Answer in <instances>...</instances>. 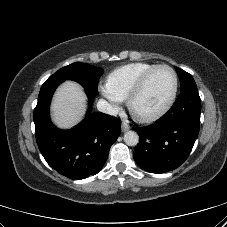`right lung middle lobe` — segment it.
<instances>
[{
	"mask_svg": "<svg viewBox=\"0 0 227 227\" xmlns=\"http://www.w3.org/2000/svg\"><path fill=\"white\" fill-rule=\"evenodd\" d=\"M103 72L101 68L76 62L59 69L45 83L73 80L81 84L88 92L96 95L98 94V81Z\"/></svg>",
	"mask_w": 227,
	"mask_h": 227,
	"instance_id": "obj_1",
	"label": "right lung middle lobe"
}]
</instances>
